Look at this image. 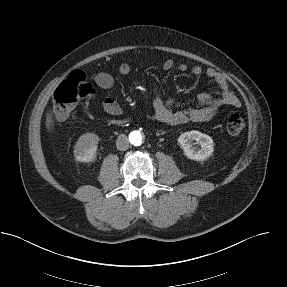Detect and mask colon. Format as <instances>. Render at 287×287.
<instances>
[{
    "label": "colon",
    "mask_w": 287,
    "mask_h": 287,
    "mask_svg": "<svg viewBox=\"0 0 287 287\" xmlns=\"http://www.w3.org/2000/svg\"><path fill=\"white\" fill-rule=\"evenodd\" d=\"M94 89L82 71L73 72L56 89L52 99L53 111L57 119L66 120L75 106L93 95ZM230 135H238L245 127V119L239 113H230L225 122Z\"/></svg>",
    "instance_id": "colon-1"
}]
</instances>
